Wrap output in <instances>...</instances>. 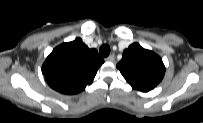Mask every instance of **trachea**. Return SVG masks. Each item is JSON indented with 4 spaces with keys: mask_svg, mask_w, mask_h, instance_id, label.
I'll list each match as a JSON object with an SVG mask.
<instances>
[{
    "mask_svg": "<svg viewBox=\"0 0 203 123\" xmlns=\"http://www.w3.org/2000/svg\"><path fill=\"white\" fill-rule=\"evenodd\" d=\"M99 53L102 57H107L110 54V47L108 45H102L99 49Z\"/></svg>",
    "mask_w": 203,
    "mask_h": 123,
    "instance_id": "3493384b",
    "label": "trachea"
}]
</instances>
